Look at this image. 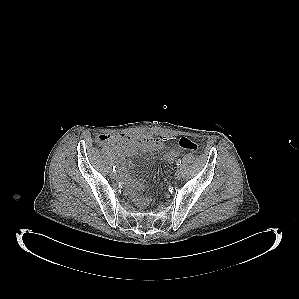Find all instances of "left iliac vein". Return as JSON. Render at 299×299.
<instances>
[{
    "mask_svg": "<svg viewBox=\"0 0 299 299\" xmlns=\"http://www.w3.org/2000/svg\"><path fill=\"white\" fill-rule=\"evenodd\" d=\"M182 177V172L180 169H178L175 173V179L179 180Z\"/></svg>",
    "mask_w": 299,
    "mask_h": 299,
    "instance_id": "4c4485c4",
    "label": "left iliac vein"
}]
</instances>
